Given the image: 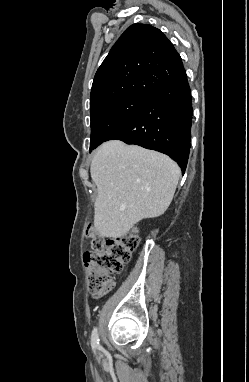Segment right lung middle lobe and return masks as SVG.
Masks as SVG:
<instances>
[{"label":"right lung middle lobe","instance_id":"right-lung-middle-lobe-1","mask_svg":"<svg viewBox=\"0 0 249 382\" xmlns=\"http://www.w3.org/2000/svg\"><path fill=\"white\" fill-rule=\"evenodd\" d=\"M148 99L149 97L146 96L130 95L90 110V151L127 125L140 112Z\"/></svg>","mask_w":249,"mask_h":382}]
</instances>
